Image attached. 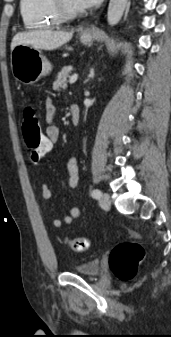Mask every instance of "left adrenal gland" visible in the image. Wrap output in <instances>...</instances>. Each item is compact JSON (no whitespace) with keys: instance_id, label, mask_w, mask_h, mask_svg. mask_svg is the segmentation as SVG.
<instances>
[{"instance_id":"obj_1","label":"left adrenal gland","mask_w":171,"mask_h":337,"mask_svg":"<svg viewBox=\"0 0 171 337\" xmlns=\"http://www.w3.org/2000/svg\"><path fill=\"white\" fill-rule=\"evenodd\" d=\"M89 77H90L91 79L94 78V70H93V69L90 70Z\"/></svg>"}]
</instances>
